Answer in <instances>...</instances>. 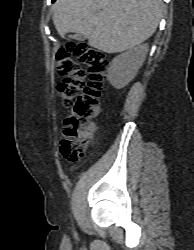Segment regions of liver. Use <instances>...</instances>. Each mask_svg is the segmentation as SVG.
Wrapping results in <instances>:
<instances>
[{
    "label": "liver",
    "mask_w": 194,
    "mask_h": 250,
    "mask_svg": "<svg viewBox=\"0 0 194 250\" xmlns=\"http://www.w3.org/2000/svg\"><path fill=\"white\" fill-rule=\"evenodd\" d=\"M53 23L64 38L83 34L106 53L131 49L150 38L161 18L162 0H57Z\"/></svg>",
    "instance_id": "obj_1"
}]
</instances>
